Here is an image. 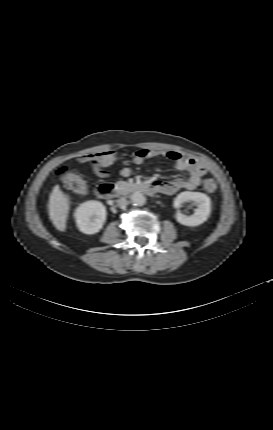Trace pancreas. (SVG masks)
<instances>
[{"label": "pancreas", "instance_id": "pancreas-1", "mask_svg": "<svg viewBox=\"0 0 273 430\" xmlns=\"http://www.w3.org/2000/svg\"><path fill=\"white\" fill-rule=\"evenodd\" d=\"M115 186H116V192H117V194L124 195V194H127L130 191V189L132 187V184H130V183L126 182V181H118L115 184Z\"/></svg>", "mask_w": 273, "mask_h": 430}]
</instances>
